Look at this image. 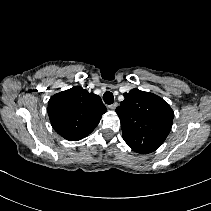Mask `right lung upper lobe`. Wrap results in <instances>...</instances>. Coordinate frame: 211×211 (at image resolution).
I'll return each instance as SVG.
<instances>
[{"label":"right lung upper lobe","instance_id":"right-lung-upper-lobe-1","mask_svg":"<svg viewBox=\"0 0 211 211\" xmlns=\"http://www.w3.org/2000/svg\"><path fill=\"white\" fill-rule=\"evenodd\" d=\"M47 111L53 129L63 138L77 141L94 130L107 108L98 95L75 86L53 95Z\"/></svg>","mask_w":211,"mask_h":211}]
</instances>
